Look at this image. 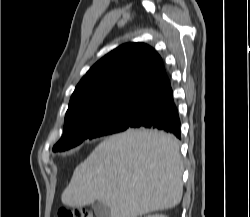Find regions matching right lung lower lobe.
I'll return each mask as SVG.
<instances>
[{
    "label": "right lung lower lobe",
    "mask_w": 250,
    "mask_h": 217,
    "mask_svg": "<svg viewBox=\"0 0 250 217\" xmlns=\"http://www.w3.org/2000/svg\"><path fill=\"white\" fill-rule=\"evenodd\" d=\"M129 128L159 129L181 138L180 118L170 82L140 100Z\"/></svg>",
    "instance_id": "right-lung-lower-lobe-1"
}]
</instances>
